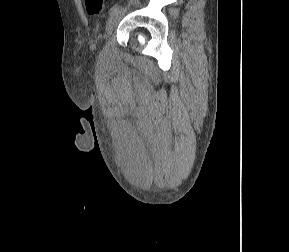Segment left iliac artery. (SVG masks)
I'll return each instance as SVG.
<instances>
[{
  "label": "left iliac artery",
  "mask_w": 289,
  "mask_h": 252,
  "mask_svg": "<svg viewBox=\"0 0 289 252\" xmlns=\"http://www.w3.org/2000/svg\"><path fill=\"white\" fill-rule=\"evenodd\" d=\"M119 9H120V6L118 4H116V5L111 7L109 14L111 15V14L117 12Z\"/></svg>",
  "instance_id": "left-iliac-artery-1"
}]
</instances>
